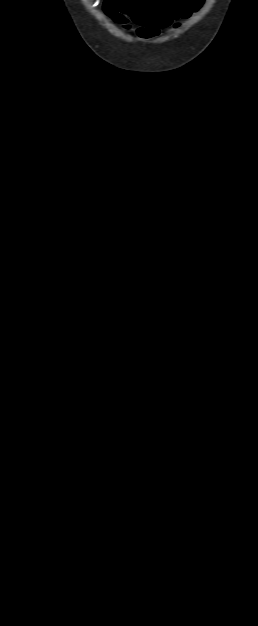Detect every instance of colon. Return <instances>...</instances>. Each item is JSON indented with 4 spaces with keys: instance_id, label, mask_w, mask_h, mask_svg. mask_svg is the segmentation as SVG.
I'll return each mask as SVG.
<instances>
[{
    "instance_id": "1",
    "label": "colon",
    "mask_w": 258,
    "mask_h": 626,
    "mask_svg": "<svg viewBox=\"0 0 258 626\" xmlns=\"http://www.w3.org/2000/svg\"><path fill=\"white\" fill-rule=\"evenodd\" d=\"M118 8L123 10V8H121V7H118ZM132 16H135V15H132ZM153 22H154V24H160V22H157V21H154V20H153Z\"/></svg>"
}]
</instances>
